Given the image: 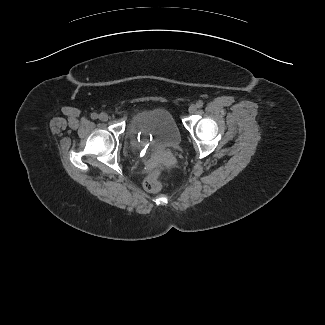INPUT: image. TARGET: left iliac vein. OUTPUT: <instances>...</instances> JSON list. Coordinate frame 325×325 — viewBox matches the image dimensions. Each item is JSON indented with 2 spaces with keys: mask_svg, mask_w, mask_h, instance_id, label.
<instances>
[{
  "mask_svg": "<svg viewBox=\"0 0 325 325\" xmlns=\"http://www.w3.org/2000/svg\"><path fill=\"white\" fill-rule=\"evenodd\" d=\"M188 111L190 114H194L197 111V106L195 104L190 105Z\"/></svg>",
  "mask_w": 325,
  "mask_h": 325,
  "instance_id": "obj_1",
  "label": "left iliac vein"
}]
</instances>
